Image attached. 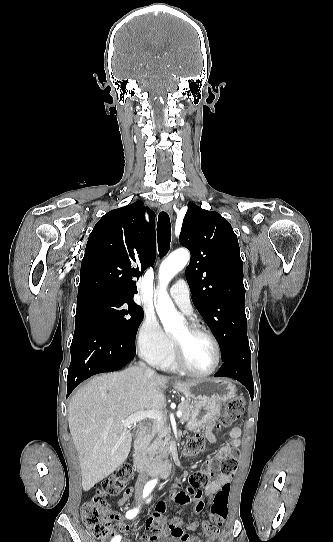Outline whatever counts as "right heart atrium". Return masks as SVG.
Returning a JSON list of instances; mask_svg holds the SVG:
<instances>
[{
    "instance_id": "obj_1",
    "label": "right heart atrium",
    "mask_w": 333,
    "mask_h": 542,
    "mask_svg": "<svg viewBox=\"0 0 333 542\" xmlns=\"http://www.w3.org/2000/svg\"><path fill=\"white\" fill-rule=\"evenodd\" d=\"M138 353L144 358L158 356L170 349L171 339L163 331L155 316L146 315L136 334Z\"/></svg>"
}]
</instances>
